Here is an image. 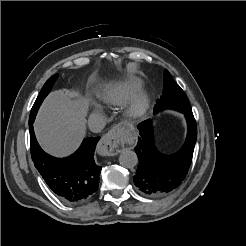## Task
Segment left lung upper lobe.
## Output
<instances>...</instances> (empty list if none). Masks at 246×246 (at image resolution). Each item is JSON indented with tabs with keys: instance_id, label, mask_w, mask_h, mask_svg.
I'll list each match as a JSON object with an SVG mask.
<instances>
[{
	"instance_id": "left-lung-upper-lobe-1",
	"label": "left lung upper lobe",
	"mask_w": 246,
	"mask_h": 246,
	"mask_svg": "<svg viewBox=\"0 0 246 246\" xmlns=\"http://www.w3.org/2000/svg\"><path fill=\"white\" fill-rule=\"evenodd\" d=\"M159 111L171 108L181 112L191 108L189 100L180 88V86L172 79L168 70L164 71V89L161 99L157 101L156 105Z\"/></svg>"
}]
</instances>
